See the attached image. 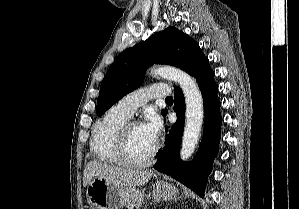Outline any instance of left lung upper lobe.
<instances>
[{"label":"left lung upper lobe","instance_id":"obj_1","mask_svg":"<svg viewBox=\"0 0 299 209\" xmlns=\"http://www.w3.org/2000/svg\"><path fill=\"white\" fill-rule=\"evenodd\" d=\"M207 59L196 41L177 28L168 27L155 33L115 59L101 83L96 113L102 115L124 95L137 89L142 73L154 63L173 65L193 76ZM166 113L163 110L162 114Z\"/></svg>","mask_w":299,"mask_h":209}]
</instances>
